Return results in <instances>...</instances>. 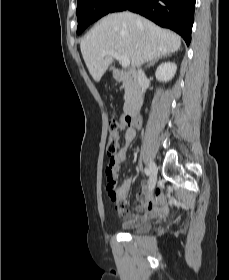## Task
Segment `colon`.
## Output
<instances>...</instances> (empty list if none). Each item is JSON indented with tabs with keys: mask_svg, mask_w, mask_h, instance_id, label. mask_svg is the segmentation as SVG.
I'll list each match as a JSON object with an SVG mask.
<instances>
[{
	"mask_svg": "<svg viewBox=\"0 0 229 280\" xmlns=\"http://www.w3.org/2000/svg\"><path fill=\"white\" fill-rule=\"evenodd\" d=\"M128 126L126 121H121L118 118H112L109 122V137L106 146V174L108 181L111 182L113 186H116V178L114 174V155L121 149V144L119 141V133Z\"/></svg>",
	"mask_w": 229,
	"mask_h": 280,
	"instance_id": "obj_1",
	"label": "colon"
}]
</instances>
